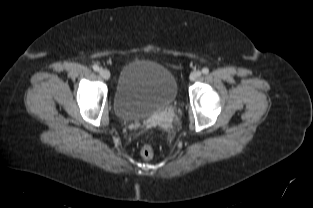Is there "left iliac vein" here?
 Listing matches in <instances>:
<instances>
[{"mask_svg":"<svg viewBox=\"0 0 313 208\" xmlns=\"http://www.w3.org/2000/svg\"><path fill=\"white\" fill-rule=\"evenodd\" d=\"M200 76H201V71H193V72L190 74V80L195 81V80H197L198 78H200Z\"/></svg>","mask_w":313,"mask_h":208,"instance_id":"1","label":"left iliac vein"}]
</instances>
